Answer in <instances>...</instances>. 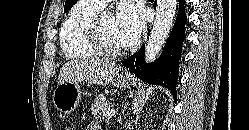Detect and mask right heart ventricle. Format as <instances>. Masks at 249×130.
Instances as JSON below:
<instances>
[{"instance_id":"e07e8e85","label":"right heart ventricle","mask_w":249,"mask_h":130,"mask_svg":"<svg viewBox=\"0 0 249 130\" xmlns=\"http://www.w3.org/2000/svg\"><path fill=\"white\" fill-rule=\"evenodd\" d=\"M101 8L91 0H79L69 11L60 29V47L65 58H90L98 55L90 46L87 30L90 21Z\"/></svg>"}]
</instances>
